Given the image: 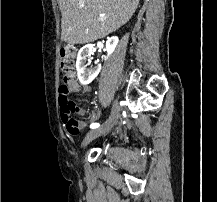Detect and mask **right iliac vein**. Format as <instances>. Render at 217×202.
<instances>
[{"label": "right iliac vein", "instance_id": "obj_1", "mask_svg": "<svg viewBox=\"0 0 217 202\" xmlns=\"http://www.w3.org/2000/svg\"><path fill=\"white\" fill-rule=\"evenodd\" d=\"M118 117H119V105L115 101L109 118L103 123V125L100 128L96 130H92L87 134L85 140L82 143V147H86L96 137L102 136L106 132H108L117 123Z\"/></svg>", "mask_w": 217, "mask_h": 202}]
</instances>
